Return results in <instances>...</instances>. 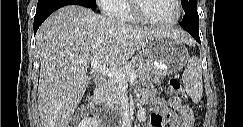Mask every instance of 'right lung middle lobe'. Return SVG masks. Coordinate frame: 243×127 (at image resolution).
I'll return each mask as SVG.
<instances>
[{
	"label": "right lung middle lobe",
	"mask_w": 243,
	"mask_h": 127,
	"mask_svg": "<svg viewBox=\"0 0 243 127\" xmlns=\"http://www.w3.org/2000/svg\"><path fill=\"white\" fill-rule=\"evenodd\" d=\"M42 0H39L41 2ZM84 2L89 6V8L95 10L96 9V2L94 0H84Z\"/></svg>",
	"instance_id": "1"
}]
</instances>
